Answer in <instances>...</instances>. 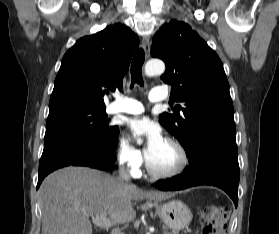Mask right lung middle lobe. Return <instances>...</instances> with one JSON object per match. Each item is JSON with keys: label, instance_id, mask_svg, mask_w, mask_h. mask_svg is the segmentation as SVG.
<instances>
[{"label": "right lung middle lobe", "instance_id": "1", "mask_svg": "<svg viewBox=\"0 0 279 234\" xmlns=\"http://www.w3.org/2000/svg\"><path fill=\"white\" fill-rule=\"evenodd\" d=\"M105 109L71 106L50 110L44 143L63 138H79L93 143L105 153H113L118 126H109Z\"/></svg>", "mask_w": 279, "mask_h": 234}]
</instances>
